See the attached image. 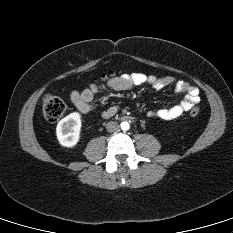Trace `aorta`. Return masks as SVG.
<instances>
[{
	"instance_id": "aorta-1",
	"label": "aorta",
	"mask_w": 233,
	"mask_h": 233,
	"mask_svg": "<svg viewBox=\"0 0 233 233\" xmlns=\"http://www.w3.org/2000/svg\"><path fill=\"white\" fill-rule=\"evenodd\" d=\"M120 126H121V129H122L123 131H127V130H129V128H130V125H129V123H128L127 121L122 122V123L120 124Z\"/></svg>"
}]
</instances>
